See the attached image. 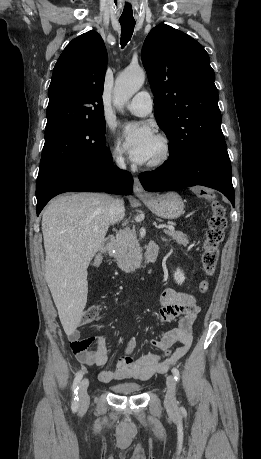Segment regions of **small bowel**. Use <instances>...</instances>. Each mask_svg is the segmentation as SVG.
Segmentation results:
<instances>
[{
	"label": "small bowel",
	"mask_w": 261,
	"mask_h": 459,
	"mask_svg": "<svg viewBox=\"0 0 261 459\" xmlns=\"http://www.w3.org/2000/svg\"><path fill=\"white\" fill-rule=\"evenodd\" d=\"M103 262V257L97 255L93 265L98 267ZM161 307L157 318L160 325L177 321L178 326L161 334L159 338L152 341L151 346L157 351H164L175 342L181 346L174 354L164 362L160 361V354L149 352L140 358L135 359L133 352L136 342L132 338L125 346L124 353L119 359L117 366L112 370H102L99 379L102 382L122 380L127 378L147 379L155 371L167 370L176 363L189 350L192 344V325L200 312V307L193 294L177 292L167 288L163 290L160 297ZM71 349L78 361L85 366H104L108 362V349L106 341L102 337H90L82 339L77 328L67 331Z\"/></svg>",
	"instance_id": "1"
}]
</instances>
